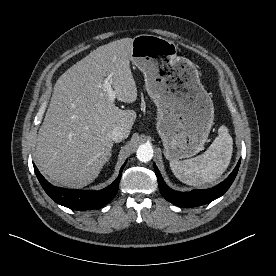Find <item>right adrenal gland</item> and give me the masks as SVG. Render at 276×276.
<instances>
[{
  "instance_id": "1",
  "label": "right adrenal gland",
  "mask_w": 276,
  "mask_h": 276,
  "mask_svg": "<svg viewBox=\"0 0 276 276\" xmlns=\"http://www.w3.org/2000/svg\"><path fill=\"white\" fill-rule=\"evenodd\" d=\"M111 156H112V152H110V154H109V157H108V160H107V161H109V160H110Z\"/></svg>"
}]
</instances>
